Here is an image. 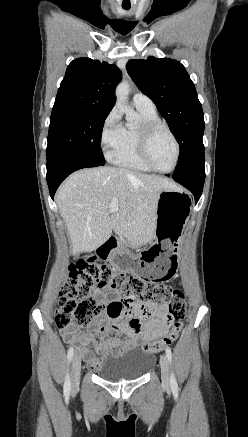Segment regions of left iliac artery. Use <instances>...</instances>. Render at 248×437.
Returning a JSON list of instances; mask_svg holds the SVG:
<instances>
[{"label": "left iliac artery", "mask_w": 248, "mask_h": 437, "mask_svg": "<svg viewBox=\"0 0 248 437\" xmlns=\"http://www.w3.org/2000/svg\"><path fill=\"white\" fill-rule=\"evenodd\" d=\"M166 356L168 358V361L171 364V362H172V352H171V349L169 347L166 348ZM170 385H171V388H172L173 391H177L178 390V384H177L176 378H175L173 373L171 374Z\"/></svg>", "instance_id": "obj_1"}]
</instances>
